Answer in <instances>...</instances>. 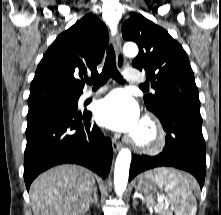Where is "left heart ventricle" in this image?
Here are the masks:
<instances>
[{"label": "left heart ventricle", "mask_w": 221, "mask_h": 215, "mask_svg": "<svg viewBox=\"0 0 221 215\" xmlns=\"http://www.w3.org/2000/svg\"><path fill=\"white\" fill-rule=\"evenodd\" d=\"M136 135H138L141 138H144L146 135L145 130L140 127L139 130L137 131Z\"/></svg>", "instance_id": "left-heart-ventricle-1"}]
</instances>
